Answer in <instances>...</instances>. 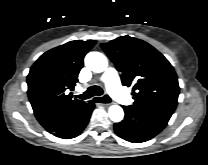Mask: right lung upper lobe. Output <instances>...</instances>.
Instances as JSON below:
<instances>
[{
    "instance_id": "right-lung-upper-lobe-1",
    "label": "right lung upper lobe",
    "mask_w": 208,
    "mask_h": 165,
    "mask_svg": "<svg viewBox=\"0 0 208 165\" xmlns=\"http://www.w3.org/2000/svg\"><path fill=\"white\" fill-rule=\"evenodd\" d=\"M96 41H70L53 48L31 67L27 76L28 96L39 123L50 133L78 118L91 102L72 99L73 90L83 67V58Z\"/></svg>"
}]
</instances>
